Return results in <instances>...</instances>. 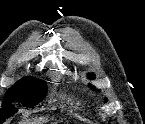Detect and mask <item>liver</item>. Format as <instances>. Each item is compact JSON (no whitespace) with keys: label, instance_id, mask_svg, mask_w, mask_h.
Here are the masks:
<instances>
[{"label":"liver","instance_id":"6515ba94","mask_svg":"<svg viewBox=\"0 0 145 124\" xmlns=\"http://www.w3.org/2000/svg\"><path fill=\"white\" fill-rule=\"evenodd\" d=\"M47 122V119L42 118V119H36L34 121H26L25 124H44Z\"/></svg>","mask_w":145,"mask_h":124}]
</instances>
